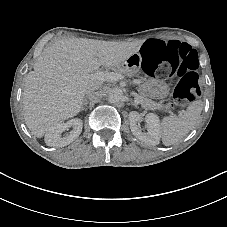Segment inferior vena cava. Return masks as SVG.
<instances>
[{"mask_svg": "<svg viewBox=\"0 0 227 227\" xmlns=\"http://www.w3.org/2000/svg\"><path fill=\"white\" fill-rule=\"evenodd\" d=\"M100 88H101V87H100L97 83L90 84V85L87 87L86 94H91V93H93L95 90L100 89Z\"/></svg>", "mask_w": 227, "mask_h": 227, "instance_id": "inferior-vena-cava-1", "label": "inferior vena cava"}]
</instances>
